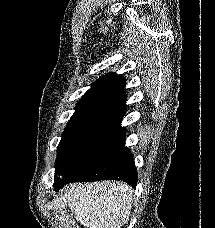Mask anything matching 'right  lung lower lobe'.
<instances>
[{"label": "right lung lower lobe", "instance_id": "1", "mask_svg": "<svg viewBox=\"0 0 215 228\" xmlns=\"http://www.w3.org/2000/svg\"><path fill=\"white\" fill-rule=\"evenodd\" d=\"M125 132L82 162L56 185L59 191L70 182H92L104 179L121 180L136 187L138 176L133 155L125 145Z\"/></svg>", "mask_w": 215, "mask_h": 228}]
</instances>
